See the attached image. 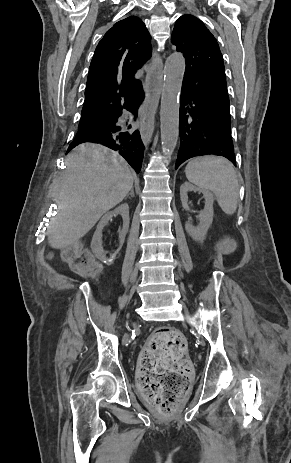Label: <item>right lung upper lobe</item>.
<instances>
[{"label":"right lung upper lobe","instance_id":"cb5924a9","mask_svg":"<svg viewBox=\"0 0 291 463\" xmlns=\"http://www.w3.org/2000/svg\"><path fill=\"white\" fill-rule=\"evenodd\" d=\"M151 57V36L142 20L128 17L114 24L98 43L85 90L81 120L121 109V97L135 95L141 82L135 72Z\"/></svg>","mask_w":291,"mask_h":463}]
</instances>
